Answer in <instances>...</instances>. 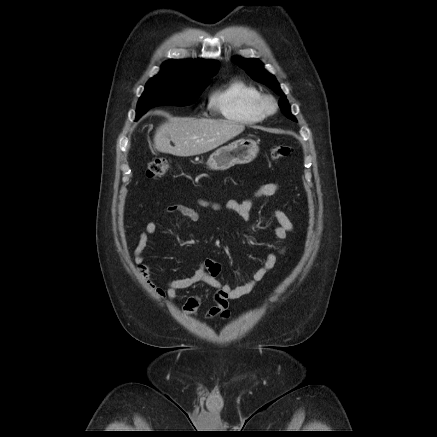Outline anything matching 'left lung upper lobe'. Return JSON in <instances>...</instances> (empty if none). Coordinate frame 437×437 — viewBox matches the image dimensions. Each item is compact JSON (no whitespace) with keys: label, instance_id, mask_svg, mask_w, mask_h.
Here are the masks:
<instances>
[{"label":"left lung upper lobe","instance_id":"5c2ea615","mask_svg":"<svg viewBox=\"0 0 437 437\" xmlns=\"http://www.w3.org/2000/svg\"><path fill=\"white\" fill-rule=\"evenodd\" d=\"M233 63L238 65L239 67L243 68L247 71V73L256 81L261 82L268 87H270L274 92H276L278 95L281 96V99L279 100V106L283 112V114L290 118L293 121L297 120L295 117L291 114L290 111V105L282 92L278 82L276 81L275 77L268 73L264 67L263 64L257 60V59H244L241 57H234L232 59Z\"/></svg>","mask_w":437,"mask_h":437}]
</instances>
